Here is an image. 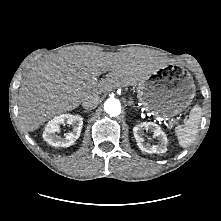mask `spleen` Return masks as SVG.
<instances>
[{"mask_svg": "<svg viewBox=\"0 0 221 221\" xmlns=\"http://www.w3.org/2000/svg\"><path fill=\"white\" fill-rule=\"evenodd\" d=\"M200 118L201 108L196 105L192 108L186 123L175 128V135L181 147L186 148L195 140Z\"/></svg>", "mask_w": 221, "mask_h": 221, "instance_id": "spleen-1", "label": "spleen"}]
</instances>
